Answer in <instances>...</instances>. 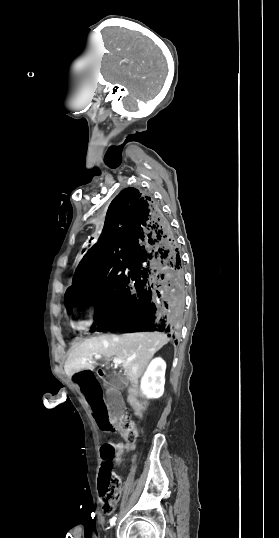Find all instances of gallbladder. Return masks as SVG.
Listing matches in <instances>:
<instances>
[{
	"mask_svg": "<svg viewBox=\"0 0 279 538\" xmlns=\"http://www.w3.org/2000/svg\"><path fill=\"white\" fill-rule=\"evenodd\" d=\"M107 382L111 388H114V390H109L107 401L112 406L113 410H116V413L112 412L109 414L108 419L110 422L115 423L118 421L119 416L123 415V410L126 406L124 399H121L120 395L115 390H119L120 386H126L128 380L123 374H109V376H107Z\"/></svg>",
	"mask_w": 279,
	"mask_h": 538,
	"instance_id": "bac80fb5",
	"label": "gallbladder"
}]
</instances>
